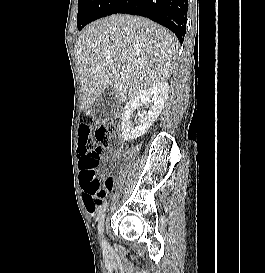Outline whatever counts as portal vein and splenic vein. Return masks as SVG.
I'll return each instance as SVG.
<instances>
[{"label": "portal vein and splenic vein", "mask_w": 265, "mask_h": 273, "mask_svg": "<svg viewBox=\"0 0 265 273\" xmlns=\"http://www.w3.org/2000/svg\"><path fill=\"white\" fill-rule=\"evenodd\" d=\"M125 70H126V66L123 65V66H122V71H125Z\"/></svg>", "instance_id": "portal-vein-and-splenic-vein-1"}]
</instances>
